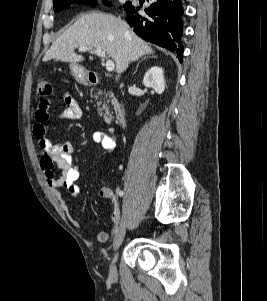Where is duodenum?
I'll return each mask as SVG.
<instances>
[{
    "label": "duodenum",
    "instance_id": "duodenum-1",
    "mask_svg": "<svg viewBox=\"0 0 267 301\" xmlns=\"http://www.w3.org/2000/svg\"><path fill=\"white\" fill-rule=\"evenodd\" d=\"M98 77L94 75H89L87 77V83L90 86H95L98 83ZM115 123L119 127H123L126 124V113L125 108L122 104L119 105L117 111H116V118Z\"/></svg>",
    "mask_w": 267,
    "mask_h": 301
}]
</instances>
